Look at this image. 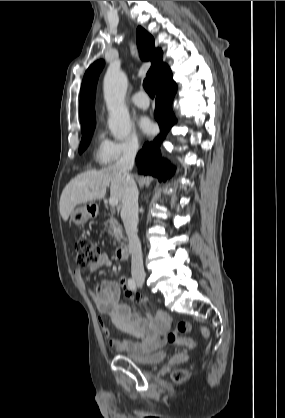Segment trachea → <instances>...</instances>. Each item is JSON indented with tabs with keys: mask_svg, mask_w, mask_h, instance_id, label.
Returning <instances> with one entry per match:
<instances>
[{
	"mask_svg": "<svg viewBox=\"0 0 285 418\" xmlns=\"http://www.w3.org/2000/svg\"><path fill=\"white\" fill-rule=\"evenodd\" d=\"M143 87L146 90V92L148 93V95L151 98H154V96H155V86H154V83H153L152 79L146 78L143 81Z\"/></svg>",
	"mask_w": 285,
	"mask_h": 418,
	"instance_id": "1",
	"label": "trachea"
}]
</instances>
